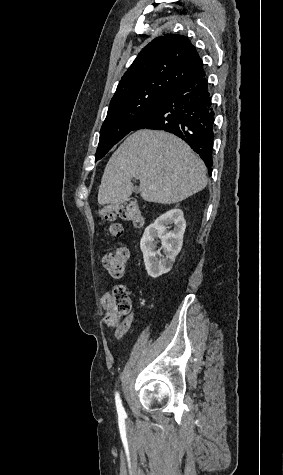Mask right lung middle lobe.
Here are the masks:
<instances>
[{"mask_svg":"<svg viewBox=\"0 0 283 475\" xmlns=\"http://www.w3.org/2000/svg\"><path fill=\"white\" fill-rule=\"evenodd\" d=\"M170 91L157 90L109 105L101 127L95 160H99L158 104Z\"/></svg>","mask_w":283,"mask_h":475,"instance_id":"obj_1","label":"right lung middle lobe"}]
</instances>
